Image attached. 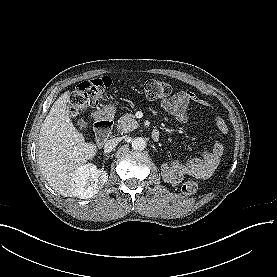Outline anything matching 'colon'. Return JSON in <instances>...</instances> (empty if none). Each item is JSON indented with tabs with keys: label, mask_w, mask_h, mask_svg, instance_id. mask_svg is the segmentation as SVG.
<instances>
[{
	"label": "colon",
	"mask_w": 277,
	"mask_h": 277,
	"mask_svg": "<svg viewBox=\"0 0 277 277\" xmlns=\"http://www.w3.org/2000/svg\"><path fill=\"white\" fill-rule=\"evenodd\" d=\"M112 81L108 77L85 81L76 86L70 96V113L75 115L78 111L89 107H96L104 94L111 88ZM172 86L158 80H147L143 85L144 95L151 100L165 99L172 93ZM85 123L79 120L76 127L83 130ZM197 190L195 180L189 179L182 186L184 195H193Z\"/></svg>",
	"instance_id": "colon-1"
}]
</instances>
